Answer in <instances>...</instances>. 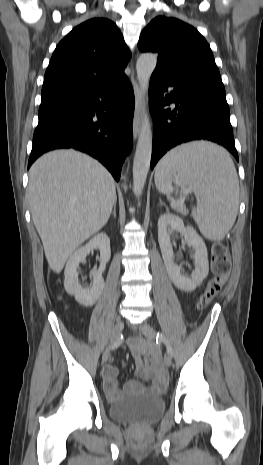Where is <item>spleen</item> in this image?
I'll list each match as a JSON object with an SVG mask.
<instances>
[{
	"instance_id": "obj_1",
	"label": "spleen",
	"mask_w": 263,
	"mask_h": 465,
	"mask_svg": "<svg viewBox=\"0 0 263 465\" xmlns=\"http://www.w3.org/2000/svg\"><path fill=\"white\" fill-rule=\"evenodd\" d=\"M177 185L190 186L201 203L192 211L200 232L208 239L222 240L233 226L239 206V181L229 154L209 142H193L168 152L158 163L155 185L160 193Z\"/></svg>"
}]
</instances>
